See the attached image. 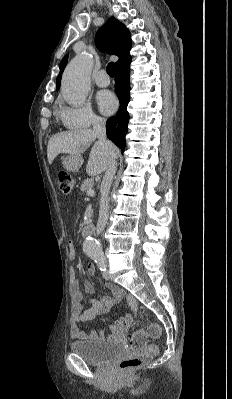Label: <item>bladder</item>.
<instances>
[{"instance_id":"obj_1","label":"bladder","mask_w":232,"mask_h":399,"mask_svg":"<svg viewBox=\"0 0 232 399\" xmlns=\"http://www.w3.org/2000/svg\"><path fill=\"white\" fill-rule=\"evenodd\" d=\"M70 350L87 363L100 365L120 356L124 346L120 343L83 340L70 343Z\"/></svg>"}]
</instances>
